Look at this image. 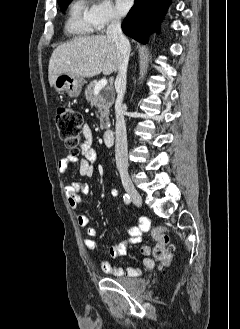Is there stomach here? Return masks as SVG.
I'll return each mask as SVG.
<instances>
[{
  "label": "stomach",
  "mask_w": 240,
  "mask_h": 329,
  "mask_svg": "<svg viewBox=\"0 0 240 329\" xmlns=\"http://www.w3.org/2000/svg\"><path fill=\"white\" fill-rule=\"evenodd\" d=\"M83 86V79L68 74H60L56 77L53 88L58 93H67L70 97H78Z\"/></svg>",
  "instance_id": "stomach-1"
}]
</instances>
